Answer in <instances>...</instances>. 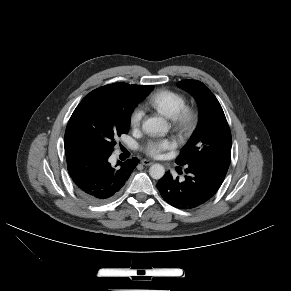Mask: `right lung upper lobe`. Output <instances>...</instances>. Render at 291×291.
Instances as JSON below:
<instances>
[{
  "label": "right lung upper lobe",
  "mask_w": 291,
  "mask_h": 291,
  "mask_svg": "<svg viewBox=\"0 0 291 291\" xmlns=\"http://www.w3.org/2000/svg\"><path fill=\"white\" fill-rule=\"evenodd\" d=\"M147 87L149 86L114 83L96 89L89 95L95 96L101 104L124 105L130 102L137 104L147 95L145 94Z\"/></svg>",
  "instance_id": "cb5924a9"
}]
</instances>
